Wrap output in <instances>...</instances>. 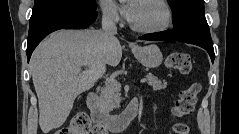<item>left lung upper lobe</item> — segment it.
I'll return each mask as SVG.
<instances>
[{
	"label": "left lung upper lobe",
	"instance_id": "obj_1",
	"mask_svg": "<svg viewBox=\"0 0 239 134\" xmlns=\"http://www.w3.org/2000/svg\"><path fill=\"white\" fill-rule=\"evenodd\" d=\"M173 12L174 27L190 20H206L203 0H168Z\"/></svg>",
	"mask_w": 239,
	"mask_h": 134
}]
</instances>
